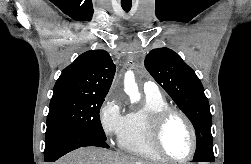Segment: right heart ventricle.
<instances>
[{"instance_id": "e07e8e85", "label": "right heart ventricle", "mask_w": 251, "mask_h": 164, "mask_svg": "<svg viewBox=\"0 0 251 164\" xmlns=\"http://www.w3.org/2000/svg\"><path fill=\"white\" fill-rule=\"evenodd\" d=\"M168 107L169 104L161 95H146L143 107L126 115L124 127L118 138L120 149L144 159L163 161L152 146L150 125L153 115Z\"/></svg>"}]
</instances>
